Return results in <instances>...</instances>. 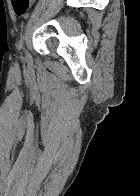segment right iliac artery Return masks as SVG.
Segmentation results:
<instances>
[{
    "mask_svg": "<svg viewBox=\"0 0 140 196\" xmlns=\"http://www.w3.org/2000/svg\"><path fill=\"white\" fill-rule=\"evenodd\" d=\"M19 46L22 48V46H23V39L20 40Z\"/></svg>",
    "mask_w": 140,
    "mask_h": 196,
    "instance_id": "obj_1",
    "label": "right iliac artery"
}]
</instances>
